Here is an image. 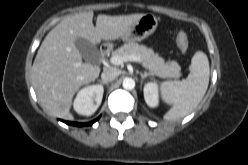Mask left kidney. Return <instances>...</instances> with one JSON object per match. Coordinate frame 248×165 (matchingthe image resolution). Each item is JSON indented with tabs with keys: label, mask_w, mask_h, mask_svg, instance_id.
Listing matches in <instances>:
<instances>
[{
	"label": "left kidney",
	"mask_w": 248,
	"mask_h": 165,
	"mask_svg": "<svg viewBox=\"0 0 248 165\" xmlns=\"http://www.w3.org/2000/svg\"><path fill=\"white\" fill-rule=\"evenodd\" d=\"M144 99L149 107H157L159 104L158 84L156 82H148L144 86Z\"/></svg>",
	"instance_id": "5707ae66"
}]
</instances>
